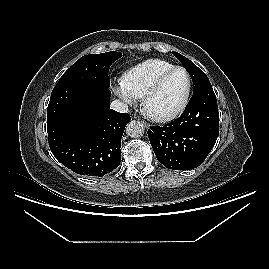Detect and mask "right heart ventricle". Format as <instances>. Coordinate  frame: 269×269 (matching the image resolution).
<instances>
[{"label":"right heart ventricle","instance_id":"e07e8e85","mask_svg":"<svg viewBox=\"0 0 269 269\" xmlns=\"http://www.w3.org/2000/svg\"><path fill=\"white\" fill-rule=\"evenodd\" d=\"M174 66L164 59H148L130 68L122 80L133 94L142 96L162 73Z\"/></svg>","mask_w":269,"mask_h":269}]
</instances>
